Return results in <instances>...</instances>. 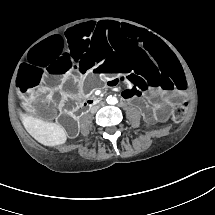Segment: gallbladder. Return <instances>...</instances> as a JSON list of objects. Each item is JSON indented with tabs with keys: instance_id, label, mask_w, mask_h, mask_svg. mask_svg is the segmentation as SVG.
<instances>
[{
	"instance_id": "obj_1",
	"label": "gallbladder",
	"mask_w": 215,
	"mask_h": 215,
	"mask_svg": "<svg viewBox=\"0 0 215 215\" xmlns=\"http://www.w3.org/2000/svg\"><path fill=\"white\" fill-rule=\"evenodd\" d=\"M35 112L37 115L48 121H53L58 116L57 106L52 101H39L35 106Z\"/></svg>"
}]
</instances>
